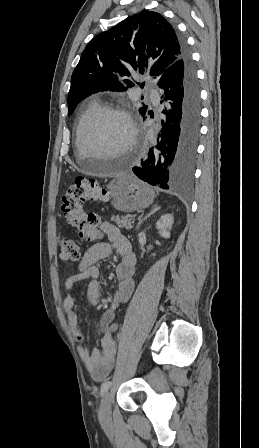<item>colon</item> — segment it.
Here are the masks:
<instances>
[{
  "mask_svg": "<svg viewBox=\"0 0 259 448\" xmlns=\"http://www.w3.org/2000/svg\"><path fill=\"white\" fill-rule=\"evenodd\" d=\"M109 193L100 186L97 180L78 176L69 184L61 199V210L70 226L75 228L80 237L91 240L97 235L99 217L95 213H86L83 205L86 201L106 202ZM60 259L74 263L82 255L81 247L72 239L62 237L58 241Z\"/></svg>",
  "mask_w": 259,
  "mask_h": 448,
  "instance_id": "obj_1",
  "label": "colon"
}]
</instances>
